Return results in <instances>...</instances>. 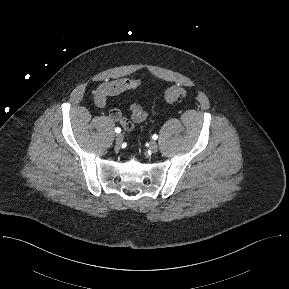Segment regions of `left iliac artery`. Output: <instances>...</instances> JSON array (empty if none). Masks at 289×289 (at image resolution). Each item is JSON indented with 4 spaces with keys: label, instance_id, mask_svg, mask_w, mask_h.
I'll return each instance as SVG.
<instances>
[{
    "label": "left iliac artery",
    "instance_id": "obj_1",
    "mask_svg": "<svg viewBox=\"0 0 289 289\" xmlns=\"http://www.w3.org/2000/svg\"><path fill=\"white\" fill-rule=\"evenodd\" d=\"M152 138H153L154 140H156V139L158 138V135L154 134V135L152 136Z\"/></svg>",
    "mask_w": 289,
    "mask_h": 289
}]
</instances>
